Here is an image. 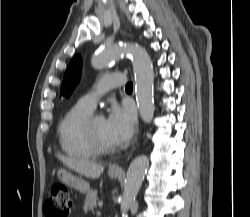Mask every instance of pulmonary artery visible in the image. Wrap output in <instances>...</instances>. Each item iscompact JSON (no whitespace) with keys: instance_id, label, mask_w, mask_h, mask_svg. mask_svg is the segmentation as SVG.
I'll use <instances>...</instances> for the list:
<instances>
[{"instance_id":"obj_1","label":"pulmonary artery","mask_w":250,"mask_h":217,"mask_svg":"<svg viewBox=\"0 0 250 217\" xmlns=\"http://www.w3.org/2000/svg\"><path fill=\"white\" fill-rule=\"evenodd\" d=\"M126 78L121 73H110L102 76L99 82L82 98L81 102L90 108H94L97 100L108 90L122 87Z\"/></svg>"}]
</instances>
